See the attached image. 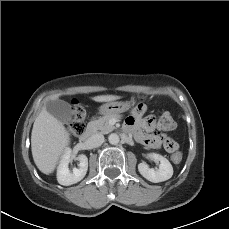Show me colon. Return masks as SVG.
<instances>
[{"label":"colon","mask_w":229,"mask_h":229,"mask_svg":"<svg viewBox=\"0 0 229 229\" xmlns=\"http://www.w3.org/2000/svg\"><path fill=\"white\" fill-rule=\"evenodd\" d=\"M173 122L172 118L162 117L160 121L161 128L170 129L173 127ZM67 129L75 136L84 134L86 130V112L81 104L75 103ZM160 138L165 150L172 154V160L175 163L181 162L182 155L178 152V144L165 135H160Z\"/></svg>","instance_id":"colon-1"}]
</instances>
